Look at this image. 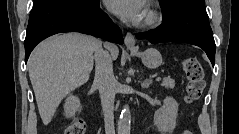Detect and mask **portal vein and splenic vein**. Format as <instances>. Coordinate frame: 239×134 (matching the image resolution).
<instances>
[{"mask_svg": "<svg viewBox=\"0 0 239 134\" xmlns=\"http://www.w3.org/2000/svg\"><path fill=\"white\" fill-rule=\"evenodd\" d=\"M160 80H161V77H157V78H156V81H160Z\"/></svg>", "mask_w": 239, "mask_h": 134, "instance_id": "1", "label": "portal vein and splenic vein"}]
</instances>
